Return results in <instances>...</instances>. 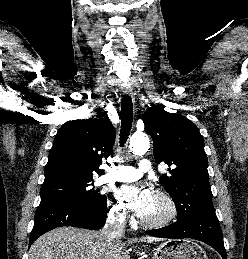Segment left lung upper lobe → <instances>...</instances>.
Wrapping results in <instances>:
<instances>
[{
    "instance_id": "5c2ea615",
    "label": "left lung upper lobe",
    "mask_w": 248,
    "mask_h": 259,
    "mask_svg": "<svg viewBox=\"0 0 248 259\" xmlns=\"http://www.w3.org/2000/svg\"><path fill=\"white\" fill-rule=\"evenodd\" d=\"M143 122L153 139L155 161L172 166L168 168L169 175L161 176L160 182L176 205L177 219L215 212L207 155L196 125L182 115L156 106L145 111Z\"/></svg>"
}]
</instances>
